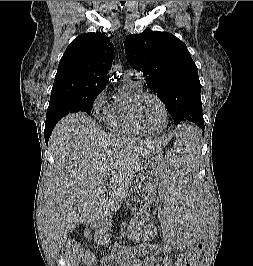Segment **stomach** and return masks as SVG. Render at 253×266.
I'll return each mask as SVG.
<instances>
[{
  "instance_id": "stomach-1",
  "label": "stomach",
  "mask_w": 253,
  "mask_h": 266,
  "mask_svg": "<svg viewBox=\"0 0 253 266\" xmlns=\"http://www.w3.org/2000/svg\"><path fill=\"white\" fill-rule=\"evenodd\" d=\"M160 160H164L161 151L149 156L142 166V204L140 209L135 213L133 219L130 221L126 234L132 240H142L141 230L145 223L149 221L150 217V203L155 194V186L162 185L160 180L162 177V170L160 169ZM162 220V219H161Z\"/></svg>"
}]
</instances>
